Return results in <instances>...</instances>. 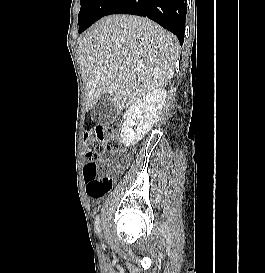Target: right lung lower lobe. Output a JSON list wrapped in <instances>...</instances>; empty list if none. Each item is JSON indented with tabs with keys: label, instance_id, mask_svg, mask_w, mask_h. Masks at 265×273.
<instances>
[{
	"label": "right lung lower lobe",
	"instance_id": "right-lung-lower-lobe-1",
	"mask_svg": "<svg viewBox=\"0 0 265 273\" xmlns=\"http://www.w3.org/2000/svg\"><path fill=\"white\" fill-rule=\"evenodd\" d=\"M187 0H116L106 12L111 14H133L148 17L173 34L183 44Z\"/></svg>",
	"mask_w": 265,
	"mask_h": 273
}]
</instances>
